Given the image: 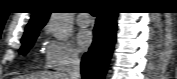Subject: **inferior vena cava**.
<instances>
[{
	"instance_id": "obj_1",
	"label": "inferior vena cava",
	"mask_w": 177,
	"mask_h": 79,
	"mask_svg": "<svg viewBox=\"0 0 177 79\" xmlns=\"http://www.w3.org/2000/svg\"><path fill=\"white\" fill-rule=\"evenodd\" d=\"M67 75L70 79H80V59L77 54L71 53L67 65Z\"/></svg>"
}]
</instances>
